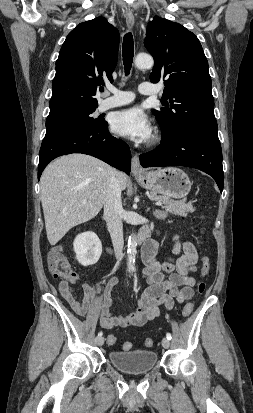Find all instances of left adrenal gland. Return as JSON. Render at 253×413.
<instances>
[{
    "mask_svg": "<svg viewBox=\"0 0 253 413\" xmlns=\"http://www.w3.org/2000/svg\"><path fill=\"white\" fill-rule=\"evenodd\" d=\"M153 214H154V216H155L156 218H158V219H163V218L165 217V214H164L162 211H160V210H155V211L153 212Z\"/></svg>",
    "mask_w": 253,
    "mask_h": 413,
    "instance_id": "left-adrenal-gland-1",
    "label": "left adrenal gland"
}]
</instances>
